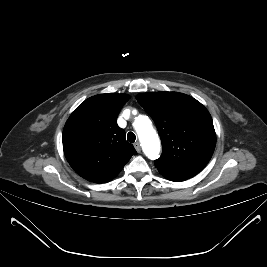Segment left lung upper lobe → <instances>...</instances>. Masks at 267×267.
<instances>
[{"label": "left lung upper lobe", "instance_id": "1", "mask_svg": "<svg viewBox=\"0 0 267 267\" xmlns=\"http://www.w3.org/2000/svg\"><path fill=\"white\" fill-rule=\"evenodd\" d=\"M139 104L155 122L163 153L157 168L191 178L209 162L216 144L212 118L196 99L178 92L143 93Z\"/></svg>", "mask_w": 267, "mask_h": 267}]
</instances>
